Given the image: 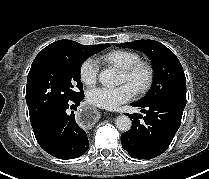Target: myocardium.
I'll return each mask as SVG.
<instances>
[{"mask_svg": "<svg viewBox=\"0 0 209 179\" xmlns=\"http://www.w3.org/2000/svg\"><path fill=\"white\" fill-rule=\"evenodd\" d=\"M122 73L129 81H133L139 75H142V80L135 87V91L138 94L146 93L151 88L154 81V69L152 65L146 61L139 60L123 69Z\"/></svg>", "mask_w": 209, "mask_h": 179, "instance_id": "1", "label": "myocardium"}]
</instances>
